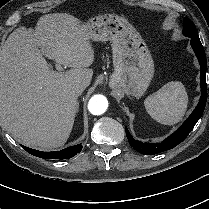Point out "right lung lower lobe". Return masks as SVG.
<instances>
[{"label":"right lung lower lobe","instance_id":"right-lung-lower-lobe-1","mask_svg":"<svg viewBox=\"0 0 209 209\" xmlns=\"http://www.w3.org/2000/svg\"><path fill=\"white\" fill-rule=\"evenodd\" d=\"M22 148L26 150L28 153L44 159H69L71 157H74L77 153L81 152L82 145L78 144L75 146L65 148L61 151H53V152H42L25 146H22Z\"/></svg>","mask_w":209,"mask_h":209}]
</instances>
